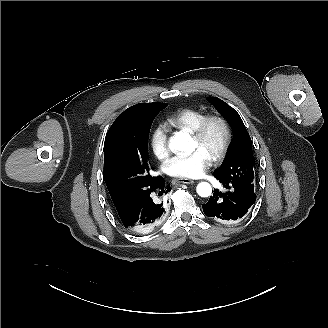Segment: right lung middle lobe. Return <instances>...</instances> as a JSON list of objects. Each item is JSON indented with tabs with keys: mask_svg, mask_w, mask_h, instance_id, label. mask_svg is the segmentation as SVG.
Returning a JSON list of instances; mask_svg holds the SVG:
<instances>
[{
	"mask_svg": "<svg viewBox=\"0 0 328 328\" xmlns=\"http://www.w3.org/2000/svg\"><path fill=\"white\" fill-rule=\"evenodd\" d=\"M167 103H140L125 110L108 130L104 143V180L113 199L135 204L158 178L150 174L148 138L155 116Z\"/></svg>",
	"mask_w": 328,
	"mask_h": 328,
	"instance_id": "1",
	"label": "right lung middle lobe"
}]
</instances>
